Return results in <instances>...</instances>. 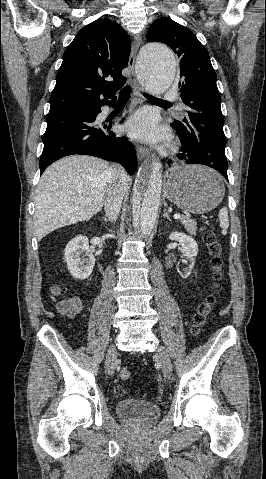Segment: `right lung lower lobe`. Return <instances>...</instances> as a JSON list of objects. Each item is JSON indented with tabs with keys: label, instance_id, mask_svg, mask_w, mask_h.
<instances>
[{
	"label": "right lung lower lobe",
	"instance_id": "1",
	"mask_svg": "<svg viewBox=\"0 0 266 479\" xmlns=\"http://www.w3.org/2000/svg\"><path fill=\"white\" fill-rule=\"evenodd\" d=\"M114 100L86 107L51 109L43 136L41 173L64 156L81 154L118 162L132 175L137 168L136 151L132 143L113 133L110 130L112 123L95 122L101 107L111 106Z\"/></svg>",
	"mask_w": 266,
	"mask_h": 479
}]
</instances>
